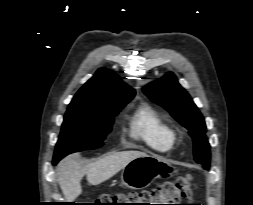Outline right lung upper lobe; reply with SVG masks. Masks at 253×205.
Instances as JSON below:
<instances>
[{
  "instance_id": "1",
  "label": "right lung upper lobe",
  "mask_w": 253,
  "mask_h": 205,
  "mask_svg": "<svg viewBox=\"0 0 253 205\" xmlns=\"http://www.w3.org/2000/svg\"><path fill=\"white\" fill-rule=\"evenodd\" d=\"M134 95V89L124 84L114 72L100 68L76 93L68 109L98 111L111 102Z\"/></svg>"
}]
</instances>
